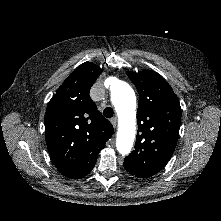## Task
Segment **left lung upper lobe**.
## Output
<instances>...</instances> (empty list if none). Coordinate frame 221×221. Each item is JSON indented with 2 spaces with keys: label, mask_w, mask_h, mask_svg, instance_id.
<instances>
[{
  "label": "left lung upper lobe",
  "mask_w": 221,
  "mask_h": 221,
  "mask_svg": "<svg viewBox=\"0 0 221 221\" xmlns=\"http://www.w3.org/2000/svg\"><path fill=\"white\" fill-rule=\"evenodd\" d=\"M140 95L135 150L125 158L124 168L137 177L159 172L176 147L181 123L178 97L167 81L154 71L127 72Z\"/></svg>",
  "instance_id": "1"
}]
</instances>
